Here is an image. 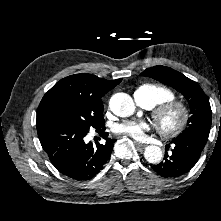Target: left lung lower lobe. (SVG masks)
I'll return each instance as SVG.
<instances>
[{"label":"left lung lower lobe","mask_w":221,"mask_h":221,"mask_svg":"<svg viewBox=\"0 0 221 221\" xmlns=\"http://www.w3.org/2000/svg\"><path fill=\"white\" fill-rule=\"evenodd\" d=\"M209 131H196L172 140L175 144L171 154L165 152L164 161L152 166L162 177H180L197 163L207 142Z\"/></svg>","instance_id":"left-lung-lower-lobe-1"}]
</instances>
